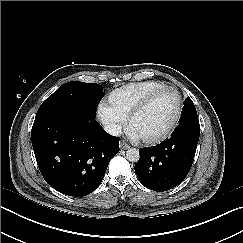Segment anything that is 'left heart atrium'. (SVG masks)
I'll return each mask as SVG.
<instances>
[{
  "label": "left heart atrium",
  "instance_id": "left-heart-atrium-1",
  "mask_svg": "<svg viewBox=\"0 0 243 243\" xmlns=\"http://www.w3.org/2000/svg\"><path fill=\"white\" fill-rule=\"evenodd\" d=\"M130 136L133 137V138H137L138 134L135 131L130 130Z\"/></svg>",
  "mask_w": 243,
  "mask_h": 243
}]
</instances>
